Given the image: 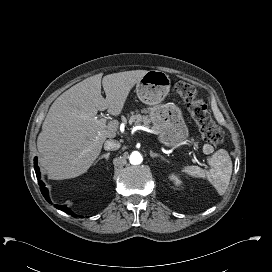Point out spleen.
<instances>
[{
  "label": "spleen",
  "instance_id": "spleen-1",
  "mask_svg": "<svg viewBox=\"0 0 272 272\" xmlns=\"http://www.w3.org/2000/svg\"><path fill=\"white\" fill-rule=\"evenodd\" d=\"M209 162L214 165L209 172L198 166H186L182 171L192 177H207L217 192L222 195L229 185L232 174L231 158L226 150L220 149L209 159Z\"/></svg>",
  "mask_w": 272,
  "mask_h": 272
}]
</instances>
